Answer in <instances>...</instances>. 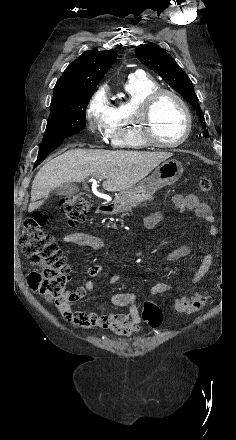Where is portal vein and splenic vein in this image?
Wrapping results in <instances>:
<instances>
[{"label":"portal vein and splenic vein","instance_id":"18ae733b","mask_svg":"<svg viewBox=\"0 0 236 440\" xmlns=\"http://www.w3.org/2000/svg\"><path fill=\"white\" fill-rule=\"evenodd\" d=\"M101 178H99V180H100ZM90 181H92V182H94L95 180L94 179H91Z\"/></svg>","mask_w":236,"mask_h":440}]
</instances>
